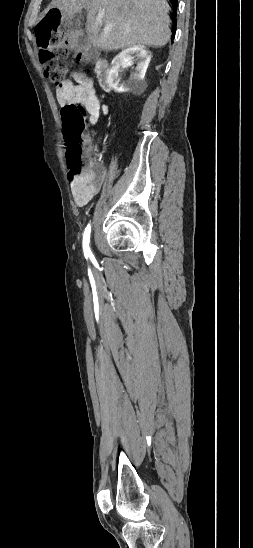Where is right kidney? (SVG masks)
Returning a JSON list of instances; mask_svg holds the SVG:
<instances>
[{
    "label": "right kidney",
    "instance_id": "obj_1",
    "mask_svg": "<svg viewBox=\"0 0 253 548\" xmlns=\"http://www.w3.org/2000/svg\"><path fill=\"white\" fill-rule=\"evenodd\" d=\"M134 57L137 59V66L131 77L120 84V67H128L134 64ZM152 54L142 45H135L119 53L112 61V68L109 71L108 81L115 92L123 93L128 91L143 92L146 88L144 81L145 73L150 63Z\"/></svg>",
    "mask_w": 253,
    "mask_h": 548
}]
</instances>
